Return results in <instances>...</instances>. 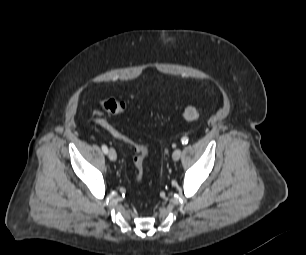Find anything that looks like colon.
<instances>
[{
	"label": "colon",
	"mask_w": 306,
	"mask_h": 255,
	"mask_svg": "<svg viewBox=\"0 0 306 255\" xmlns=\"http://www.w3.org/2000/svg\"><path fill=\"white\" fill-rule=\"evenodd\" d=\"M128 110V105L116 98H108L100 103V106L94 111L95 122L113 137L131 145L134 148L135 154L133 163L136 168V181L140 183L144 176V161L149 154L148 147L122 133L120 130L111 125L104 119V114L118 115L125 113ZM183 117L191 122L197 121L200 117L198 109L192 105H186L182 108Z\"/></svg>",
	"instance_id": "obj_1"
}]
</instances>
